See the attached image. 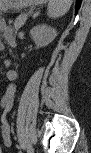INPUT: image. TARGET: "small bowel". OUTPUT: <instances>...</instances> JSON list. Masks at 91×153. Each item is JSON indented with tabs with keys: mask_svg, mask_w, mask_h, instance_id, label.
Returning a JSON list of instances; mask_svg holds the SVG:
<instances>
[{
	"mask_svg": "<svg viewBox=\"0 0 91 153\" xmlns=\"http://www.w3.org/2000/svg\"><path fill=\"white\" fill-rule=\"evenodd\" d=\"M14 101V87L9 86L1 98V107L5 113H7L13 104ZM1 136L5 145L11 144V131L10 126L6 119H2L1 122Z\"/></svg>",
	"mask_w": 91,
	"mask_h": 153,
	"instance_id": "small-bowel-1",
	"label": "small bowel"
}]
</instances>
